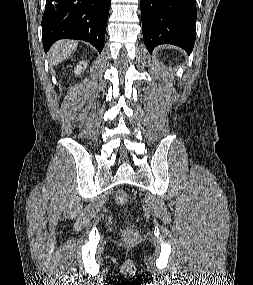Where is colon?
Masks as SVG:
<instances>
[{"label":"colon","instance_id":"5ec220e1","mask_svg":"<svg viewBox=\"0 0 253 285\" xmlns=\"http://www.w3.org/2000/svg\"><path fill=\"white\" fill-rule=\"evenodd\" d=\"M115 201L121 206H126L130 200L127 192L120 189L115 193ZM121 237L124 243H132L137 239L138 231L132 226H127L122 230Z\"/></svg>","mask_w":253,"mask_h":285}]
</instances>
